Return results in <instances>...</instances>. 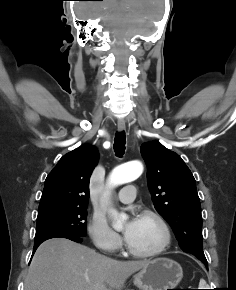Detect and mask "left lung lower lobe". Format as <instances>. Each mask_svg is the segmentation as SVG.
I'll use <instances>...</instances> for the list:
<instances>
[{
    "label": "left lung lower lobe",
    "mask_w": 236,
    "mask_h": 290,
    "mask_svg": "<svg viewBox=\"0 0 236 290\" xmlns=\"http://www.w3.org/2000/svg\"><path fill=\"white\" fill-rule=\"evenodd\" d=\"M202 261V260H201ZM204 264H205V266H206V268H208V264H207V262L206 261H202Z\"/></svg>",
    "instance_id": "1"
}]
</instances>
